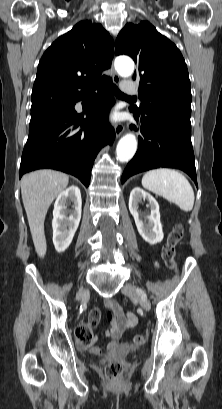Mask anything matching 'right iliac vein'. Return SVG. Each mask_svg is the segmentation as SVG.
Instances as JSON below:
<instances>
[{
	"mask_svg": "<svg viewBox=\"0 0 222 409\" xmlns=\"http://www.w3.org/2000/svg\"><path fill=\"white\" fill-rule=\"evenodd\" d=\"M89 295V290H84L78 294V297H83Z\"/></svg>",
	"mask_w": 222,
	"mask_h": 409,
	"instance_id": "right-iliac-vein-1",
	"label": "right iliac vein"
}]
</instances>
